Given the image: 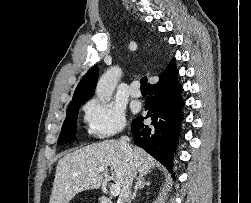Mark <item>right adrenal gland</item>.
<instances>
[{"mask_svg":"<svg viewBox=\"0 0 251 203\" xmlns=\"http://www.w3.org/2000/svg\"><path fill=\"white\" fill-rule=\"evenodd\" d=\"M146 175H147V173L139 174V176L136 180V183H135L134 192L132 193L131 199H135L139 188H143L144 186L151 184L149 181H145Z\"/></svg>","mask_w":251,"mask_h":203,"instance_id":"2a0ac1e0","label":"right adrenal gland"}]
</instances>
